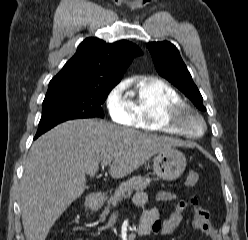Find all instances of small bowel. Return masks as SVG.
I'll return each mask as SVG.
<instances>
[{
	"label": "small bowel",
	"mask_w": 248,
	"mask_h": 240,
	"mask_svg": "<svg viewBox=\"0 0 248 240\" xmlns=\"http://www.w3.org/2000/svg\"><path fill=\"white\" fill-rule=\"evenodd\" d=\"M156 201L166 202L178 199L177 194L170 191H160L155 196ZM134 203L138 206L145 207V211L141 220V226L149 227L146 234L161 233L168 235L173 233L181 224L184 211L192 206L194 216L192 226L204 233L211 240H219V234L210 222V214L207 210L199 206L196 198L183 199L177 203L174 212L166 219H160L159 209L150 205V198L145 192H138L134 196ZM81 240V239H76Z\"/></svg>",
	"instance_id": "c3829d8e"
}]
</instances>
